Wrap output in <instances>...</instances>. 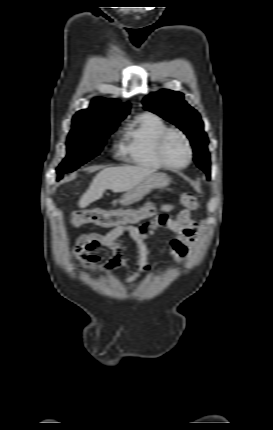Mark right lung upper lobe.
Here are the masks:
<instances>
[{
  "instance_id": "cb5924a9",
  "label": "right lung upper lobe",
  "mask_w": 273,
  "mask_h": 430,
  "mask_svg": "<svg viewBox=\"0 0 273 430\" xmlns=\"http://www.w3.org/2000/svg\"><path fill=\"white\" fill-rule=\"evenodd\" d=\"M130 111V104L116 99L95 98L88 109L80 110L73 119L93 122H120Z\"/></svg>"
}]
</instances>
